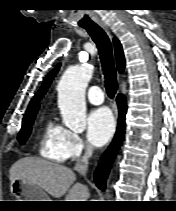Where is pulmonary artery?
I'll return each instance as SVG.
<instances>
[{
    "instance_id": "obj_1",
    "label": "pulmonary artery",
    "mask_w": 176,
    "mask_h": 211,
    "mask_svg": "<svg viewBox=\"0 0 176 211\" xmlns=\"http://www.w3.org/2000/svg\"><path fill=\"white\" fill-rule=\"evenodd\" d=\"M87 98L89 102L94 105H100L104 102V94L98 86H91L88 89Z\"/></svg>"
}]
</instances>
